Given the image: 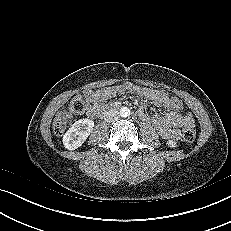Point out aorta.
<instances>
[{
    "label": "aorta",
    "instance_id": "1",
    "mask_svg": "<svg viewBox=\"0 0 231 231\" xmlns=\"http://www.w3.org/2000/svg\"><path fill=\"white\" fill-rule=\"evenodd\" d=\"M129 115H130V109H129L128 107H122V108L120 109V116H121V117L126 118V117H128Z\"/></svg>",
    "mask_w": 231,
    "mask_h": 231
}]
</instances>
